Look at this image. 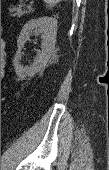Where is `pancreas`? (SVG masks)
I'll use <instances>...</instances> for the list:
<instances>
[{"label":"pancreas","instance_id":"pancreas-1","mask_svg":"<svg viewBox=\"0 0 109 170\" xmlns=\"http://www.w3.org/2000/svg\"><path fill=\"white\" fill-rule=\"evenodd\" d=\"M33 10L29 6L19 5L18 7L11 10L12 17H21L24 14L31 13Z\"/></svg>","mask_w":109,"mask_h":170}]
</instances>
